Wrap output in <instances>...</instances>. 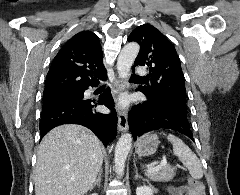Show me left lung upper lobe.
Masks as SVG:
<instances>
[{"label":"left lung upper lobe","mask_w":240,"mask_h":195,"mask_svg":"<svg viewBox=\"0 0 240 195\" xmlns=\"http://www.w3.org/2000/svg\"><path fill=\"white\" fill-rule=\"evenodd\" d=\"M127 40L140 45L134 67H149L146 76L149 84L138 89L147 97V102L175 104L186 110L185 82L174 46L149 24L136 27Z\"/></svg>","instance_id":"5c2ea615"}]
</instances>
